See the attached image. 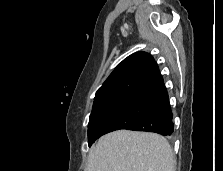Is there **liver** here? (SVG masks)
Returning a JSON list of instances; mask_svg holds the SVG:
<instances>
[{
  "label": "liver",
  "mask_w": 223,
  "mask_h": 171,
  "mask_svg": "<svg viewBox=\"0 0 223 171\" xmlns=\"http://www.w3.org/2000/svg\"><path fill=\"white\" fill-rule=\"evenodd\" d=\"M86 171H175V160L163 136L118 130L92 146Z\"/></svg>",
  "instance_id": "6515ba94"
}]
</instances>
